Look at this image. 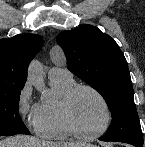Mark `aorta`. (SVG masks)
Wrapping results in <instances>:
<instances>
[{
    "label": "aorta",
    "mask_w": 145,
    "mask_h": 147,
    "mask_svg": "<svg viewBox=\"0 0 145 147\" xmlns=\"http://www.w3.org/2000/svg\"><path fill=\"white\" fill-rule=\"evenodd\" d=\"M28 79L37 88H43L44 76L41 65L37 60H33L29 66Z\"/></svg>",
    "instance_id": "obj_1"
}]
</instances>
